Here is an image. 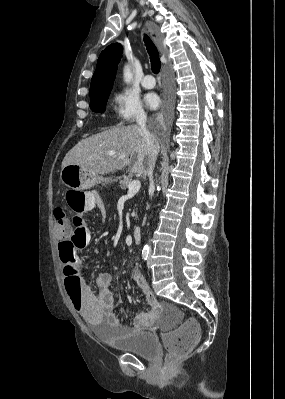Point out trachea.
Masks as SVG:
<instances>
[{"mask_svg":"<svg viewBox=\"0 0 285 399\" xmlns=\"http://www.w3.org/2000/svg\"><path fill=\"white\" fill-rule=\"evenodd\" d=\"M144 42L150 56L151 69L155 74H157L159 73L161 67L158 50L147 35H144Z\"/></svg>","mask_w":285,"mask_h":399,"instance_id":"trachea-1","label":"trachea"}]
</instances>
